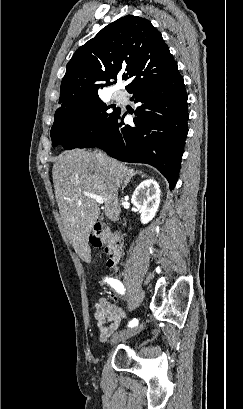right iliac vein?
I'll list each match as a JSON object with an SVG mask.
<instances>
[{"mask_svg": "<svg viewBox=\"0 0 243 409\" xmlns=\"http://www.w3.org/2000/svg\"><path fill=\"white\" fill-rule=\"evenodd\" d=\"M142 329H143V325H140L139 327L126 329V330H122L120 332H117L116 334L113 335L111 342H112V344H115V343H118L120 341H124L126 339H129L130 337L138 334Z\"/></svg>", "mask_w": 243, "mask_h": 409, "instance_id": "63e3f726", "label": "right iliac vein"}]
</instances>
